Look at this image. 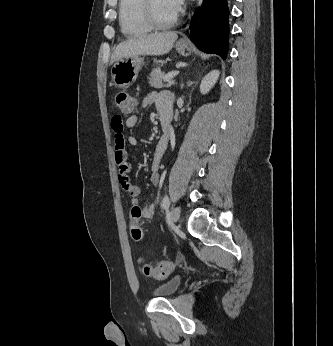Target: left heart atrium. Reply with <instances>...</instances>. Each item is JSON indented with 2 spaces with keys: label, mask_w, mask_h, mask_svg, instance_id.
Listing matches in <instances>:
<instances>
[{
  "label": "left heart atrium",
  "mask_w": 333,
  "mask_h": 346,
  "mask_svg": "<svg viewBox=\"0 0 333 346\" xmlns=\"http://www.w3.org/2000/svg\"><path fill=\"white\" fill-rule=\"evenodd\" d=\"M168 7L174 12V14H177L183 5L184 0H165Z\"/></svg>",
  "instance_id": "left-heart-atrium-1"
}]
</instances>
